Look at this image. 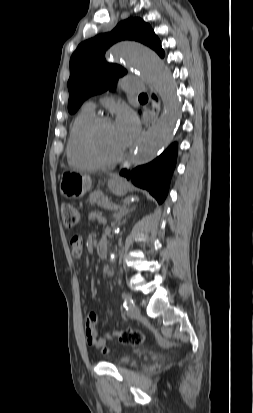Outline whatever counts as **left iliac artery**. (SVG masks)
Wrapping results in <instances>:
<instances>
[{
    "label": "left iliac artery",
    "instance_id": "obj_1",
    "mask_svg": "<svg viewBox=\"0 0 253 413\" xmlns=\"http://www.w3.org/2000/svg\"><path fill=\"white\" fill-rule=\"evenodd\" d=\"M133 304H134L133 299L130 296L128 295L123 296V306L126 310L131 308Z\"/></svg>",
    "mask_w": 253,
    "mask_h": 413
}]
</instances>
